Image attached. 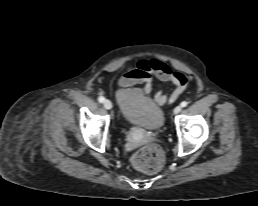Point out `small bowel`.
Wrapping results in <instances>:
<instances>
[{"label":"small bowel","instance_id":"c3829d8e","mask_svg":"<svg viewBox=\"0 0 258 206\" xmlns=\"http://www.w3.org/2000/svg\"><path fill=\"white\" fill-rule=\"evenodd\" d=\"M153 78L163 82H169L173 85L170 94L159 91L155 95V101L158 105L173 103L185 89L188 81L187 76L180 72L174 71L166 63L150 59L140 60L136 66H130L119 79V85L122 88H128L135 84L144 85V93L149 95L152 91Z\"/></svg>","mask_w":258,"mask_h":206}]
</instances>
